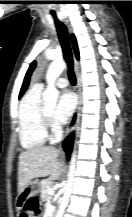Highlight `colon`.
Returning a JSON list of instances; mask_svg holds the SVG:
<instances>
[{
    "mask_svg": "<svg viewBox=\"0 0 132 217\" xmlns=\"http://www.w3.org/2000/svg\"><path fill=\"white\" fill-rule=\"evenodd\" d=\"M23 214L25 217H37L39 214V203L35 197L29 198L24 204Z\"/></svg>",
    "mask_w": 132,
    "mask_h": 217,
    "instance_id": "colon-1",
    "label": "colon"
}]
</instances>
